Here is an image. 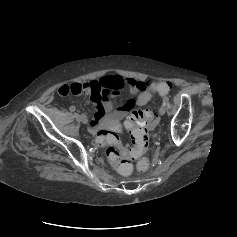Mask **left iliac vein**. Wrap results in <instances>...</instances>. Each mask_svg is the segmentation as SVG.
Instances as JSON below:
<instances>
[{"instance_id":"obj_1","label":"left iliac vein","mask_w":237,"mask_h":237,"mask_svg":"<svg viewBox=\"0 0 237 237\" xmlns=\"http://www.w3.org/2000/svg\"><path fill=\"white\" fill-rule=\"evenodd\" d=\"M165 112H166V107L164 105H162L159 109V114L161 116H163L165 114Z\"/></svg>"}]
</instances>
